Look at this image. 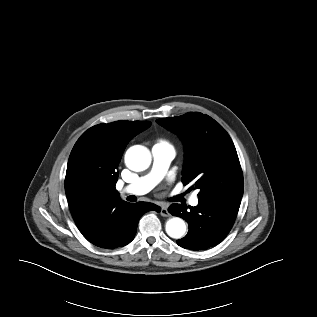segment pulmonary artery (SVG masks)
Here are the masks:
<instances>
[{
    "mask_svg": "<svg viewBox=\"0 0 317 317\" xmlns=\"http://www.w3.org/2000/svg\"><path fill=\"white\" fill-rule=\"evenodd\" d=\"M153 164L151 170L138 178L134 183L122 189L124 194L142 195L153 189L166 174L172 159L175 156L174 148L166 142H157L152 147ZM197 195H193L189 203L198 205Z\"/></svg>",
    "mask_w": 317,
    "mask_h": 317,
    "instance_id": "1",
    "label": "pulmonary artery"
}]
</instances>
